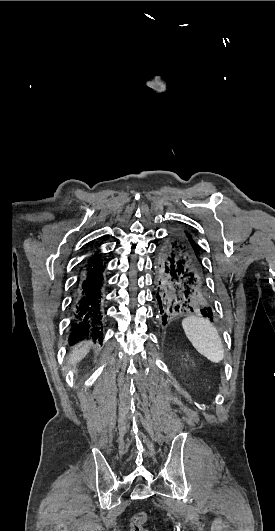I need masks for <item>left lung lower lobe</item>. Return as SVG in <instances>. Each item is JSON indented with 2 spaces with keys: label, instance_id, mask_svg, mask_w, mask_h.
I'll return each mask as SVG.
<instances>
[{
  "label": "left lung lower lobe",
  "instance_id": "1",
  "mask_svg": "<svg viewBox=\"0 0 275 531\" xmlns=\"http://www.w3.org/2000/svg\"><path fill=\"white\" fill-rule=\"evenodd\" d=\"M154 267L156 301L163 324L181 312L199 313L213 322L215 314L201 263L182 231H175L159 246Z\"/></svg>",
  "mask_w": 275,
  "mask_h": 531
}]
</instances>
